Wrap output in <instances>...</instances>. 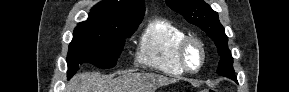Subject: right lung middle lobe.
I'll list each match as a JSON object with an SVG mask.
<instances>
[{
  "label": "right lung middle lobe",
  "mask_w": 289,
  "mask_h": 92,
  "mask_svg": "<svg viewBox=\"0 0 289 92\" xmlns=\"http://www.w3.org/2000/svg\"><path fill=\"white\" fill-rule=\"evenodd\" d=\"M138 25L119 29L76 27L67 56L68 78L85 62L100 68L114 67L123 50L125 38L131 36Z\"/></svg>",
  "instance_id": "right-lung-middle-lobe-1"
}]
</instances>
